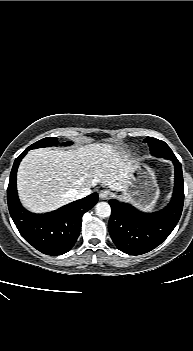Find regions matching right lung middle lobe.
<instances>
[{
	"instance_id": "right-lung-middle-lobe-1",
	"label": "right lung middle lobe",
	"mask_w": 193,
	"mask_h": 351,
	"mask_svg": "<svg viewBox=\"0 0 193 351\" xmlns=\"http://www.w3.org/2000/svg\"><path fill=\"white\" fill-rule=\"evenodd\" d=\"M57 143H58V141H57L56 137H47V138L41 139V140L37 141L36 143L32 144L31 146H29L27 148V150L42 148V147H49L52 145H56ZM71 144H72V142H64L63 143L64 146L71 145Z\"/></svg>"
}]
</instances>
